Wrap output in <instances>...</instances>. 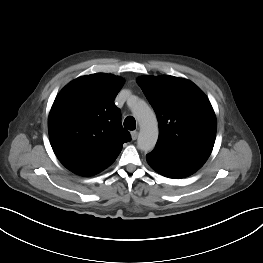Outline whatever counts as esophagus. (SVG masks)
I'll use <instances>...</instances> for the list:
<instances>
[{"mask_svg": "<svg viewBox=\"0 0 263 263\" xmlns=\"http://www.w3.org/2000/svg\"><path fill=\"white\" fill-rule=\"evenodd\" d=\"M137 137H138V132H137V131H132V132H131V138H132V140H136Z\"/></svg>", "mask_w": 263, "mask_h": 263, "instance_id": "34e87169", "label": "esophagus"}]
</instances>
